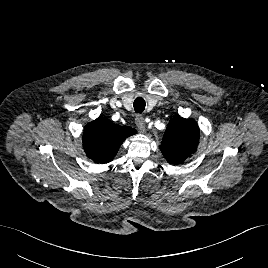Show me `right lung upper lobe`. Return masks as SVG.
<instances>
[{"mask_svg":"<svg viewBox=\"0 0 268 268\" xmlns=\"http://www.w3.org/2000/svg\"><path fill=\"white\" fill-rule=\"evenodd\" d=\"M135 133L136 130L129 126H120L99 117L85 126L83 148L95 163H109L116 156L123 141Z\"/></svg>","mask_w":268,"mask_h":268,"instance_id":"right-lung-upper-lobe-1","label":"right lung upper lobe"}]
</instances>
